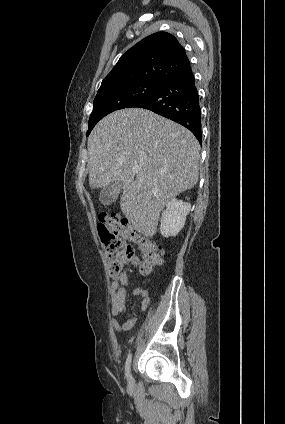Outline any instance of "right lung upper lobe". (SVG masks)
<instances>
[{
  "instance_id": "obj_1",
  "label": "right lung upper lobe",
  "mask_w": 285,
  "mask_h": 424,
  "mask_svg": "<svg viewBox=\"0 0 285 424\" xmlns=\"http://www.w3.org/2000/svg\"><path fill=\"white\" fill-rule=\"evenodd\" d=\"M190 67L184 48L171 34L154 33L124 53L98 91L139 81L165 82Z\"/></svg>"
}]
</instances>
